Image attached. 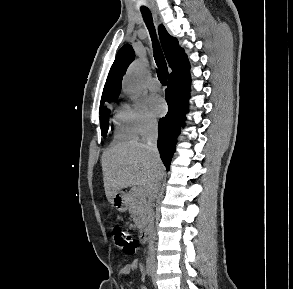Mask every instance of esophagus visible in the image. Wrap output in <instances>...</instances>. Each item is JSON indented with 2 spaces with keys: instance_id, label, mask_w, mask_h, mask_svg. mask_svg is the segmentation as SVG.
Here are the masks:
<instances>
[{
  "instance_id": "obj_1",
  "label": "esophagus",
  "mask_w": 293,
  "mask_h": 289,
  "mask_svg": "<svg viewBox=\"0 0 293 289\" xmlns=\"http://www.w3.org/2000/svg\"><path fill=\"white\" fill-rule=\"evenodd\" d=\"M153 14H154V16L157 18V12H156L155 9H153Z\"/></svg>"
}]
</instances>
